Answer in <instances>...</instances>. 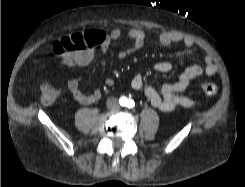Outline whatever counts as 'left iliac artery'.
Returning a JSON list of instances; mask_svg holds the SVG:
<instances>
[{
    "mask_svg": "<svg viewBox=\"0 0 245 187\" xmlns=\"http://www.w3.org/2000/svg\"><path fill=\"white\" fill-rule=\"evenodd\" d=\"M126 106L128 108H133L135 106V102L132 99L127 100Z\"/></svg>",
    "mask_w": 245,
    "mask_h": 187,
    "instance_id": "left-iliac-artery-1",
    "label": "left iliac artery"
}]
</instances>
